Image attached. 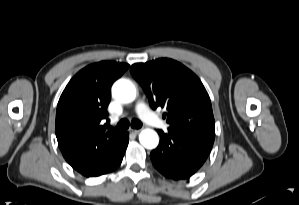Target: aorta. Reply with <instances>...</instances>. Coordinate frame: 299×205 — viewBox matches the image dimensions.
<instances>
[{
    "label": "aorta",
    "instance_id": "aorta-1",
    "mask_svg": "<svg viewBox=\"0 0 299 205\" xmlns=\"http://www.w3.org/2000/svg\"><path fill=\"white\" fill-rule=\"evenodd\" d=\"M113 96L123 103H130L136 97L135 86L126 79L116 81L112 87ZM140 143L147 149H154L159 143L158 134L152 129H145L139 135Z\"/></svg>",
    "mask_w": 299,
    "mask_h": 205
}]
</instances>
